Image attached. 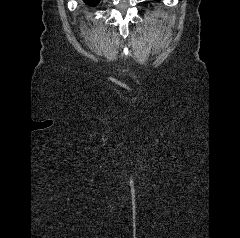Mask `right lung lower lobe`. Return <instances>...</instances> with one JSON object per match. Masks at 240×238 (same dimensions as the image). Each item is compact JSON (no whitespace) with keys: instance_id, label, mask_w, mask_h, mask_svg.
Listing matches in <instances>:
<instances>
[{"instance_id":"obj_1","label":"right lung lower lobe","mask_w":240,"mask_h":238,"mask_svg":"<svg viewBox=\"0 0 240 238\" xmlns=\"http://www.w3.org/2000/svg\"><path fill=\"white\" fill-rule=\"evenodd\" d=\"M90 6H95L100 0H84Z\"/></svg>"}]
</instances>
